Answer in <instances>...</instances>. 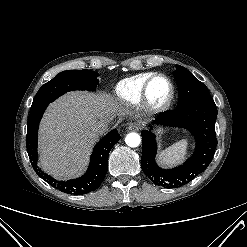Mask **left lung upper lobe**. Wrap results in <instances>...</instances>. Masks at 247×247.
Returning <instances> with one entry per match:
<instances>
[{"label":"left lung upper lobe","mask_w":247,"mask_h":247,"mask_svg":"<svg viewBox=\"0 0 247 247\" xmlns=\"http://www.w3.org/2000/svg\"><path fill=\"white\" fill-rule=\"evenodd\" d=\"M174 77L179 88L176 109L202 101H213L207 87L184 67L177 65Z\"/></svg>","instance_id":"left-lung-upper-lobe-1"}]
</instances>
